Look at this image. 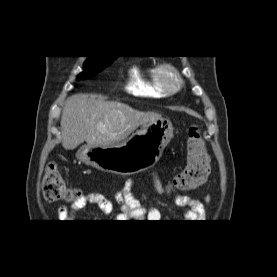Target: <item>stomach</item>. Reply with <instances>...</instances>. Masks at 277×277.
I'll use <instances>...</instances> for the list:
<instances>
[{
    "mask_svg": "<svg viewBox=\"0 0 277 277\" xmlns=\"http://www.w3.org/2000/svg\"><path fill=\"white\" fill-rule=\"evenodd\" d=\"M173 137L169 120L149 122L125 141L109 146L84 145L77 158L99 170L129 175L154 166Z\"/></svg>",
    "mask_w": 277,
    "mask_h": 277,
    "instance_id": "0dacf381",
    "label": "stomach"
}]
</instances>
